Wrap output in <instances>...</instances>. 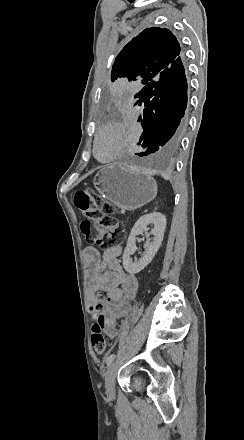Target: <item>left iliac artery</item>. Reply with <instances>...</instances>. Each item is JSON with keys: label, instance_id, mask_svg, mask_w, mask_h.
<instances>
[{"label": "left iliac artery", "instance_id": "1", "mask_svg": "<svg viewBox=\"0 0 244 440\" xmlns=\"http://www.w3.org/2000/svg\"><path fill=\"white\" fill-rule=\"evenodd\" d=\"M115 356H116L115 354H111L110 356H108V357L106 358V364H107V366L110 365V364L113 362Z\"/></svg>", "mask_w": 244, "mask_h": 440}]
</instances>
